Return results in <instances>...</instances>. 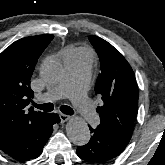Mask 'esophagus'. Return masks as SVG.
<instances>
[{"instance_id":"1","label":"esophagus","mask_w":165,"mask_h":165,"mask_svg":"<svg viewBox=\"0 0 165 165\" xmlns=\"http://www.w3.org/2000/svg\"><path fill=\"white\" fill-rule=\"evenodd\" d=\"M59 116H60L61 123H64L70 119V116L62 114V113H60Z\"/></svg>"}]
</instances>
